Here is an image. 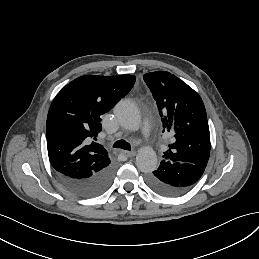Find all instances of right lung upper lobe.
<instances>
[{
    "label": "right lung upper lobe",
    "instance_id": "right-lung-upper-lobe-1",
    "mask_svg": "<svg viewBox=\"0 0 259 259\" xmlns=\"http://www.w3.org/2000/svg\"><path fill=\"white\" fill-rule=\"evenodd\" d=\"M135 79L131 75H85L57 94L46 126L48 156L56 172L85 179L109 165L108 152L93 139L102 129V115L131 90Z\"/></svg>",
    "mask_w": 259,
    "mask_h": 259
}]
</instances>
